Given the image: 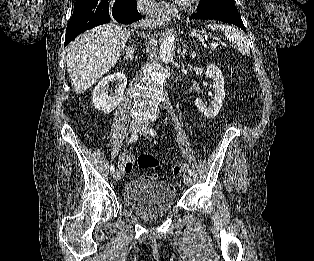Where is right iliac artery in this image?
Wrapping results in <instances>:
<instances>
[{"label": "right iliac artery", "mask_w": 314, "mask_h": 261, "mask_svg": "<svg viewBox=\"0 0 314 261\" xmlns=\"http://www.w3.org/2000/svg\"><path fill=\"white\" fill-rule=\"evenodd\" d=\"M138 139V135L134 134V135H131V137L129 138V142H135L136 140ZM110 171L111 172H114L115 171V167L114 165H111L110 166Z\"/></svg>", "instance_id": "right-iliac-artery-1"}]
</instances>
